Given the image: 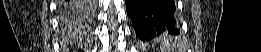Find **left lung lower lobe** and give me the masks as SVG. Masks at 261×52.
Listing matches in <instances>:
<instances>
[{
  "label": "left lung lower lobe",
  "instance_id": "0a47b994",
  "mask_svg": "<svg viewBox=\"0 0 261 52\" xmlns=\"http://www.w3.org/2000/svg\"><path fill=\"white\" fill-rule=\"evenodd\" d=\"M127 14L138 38L148 41L179 33L174 0H125Z\"/></svg>",
  "mask_w": 261,
  "mask_h": 52
}]
</instances>
